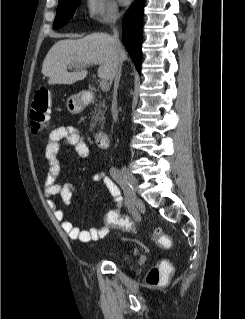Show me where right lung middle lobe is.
I'll use <instances>...</instances> for the list:
<instances>
[{"instance_id":"obj_1","label":"right lung middle lobe","mask_w":245,"mask_h":319,"mask_svg":"<svg viewBox=\"0 0 245 319\" xmlns=\"http://www.w3.org/2000/svg\"><path fill=\"white\" fill-rule=\"evenodd\" d=\"M80 0H59L57 7V16L54 21V29L61 28L72 18L76 6Z\"/></svg>"}]
</instances>
